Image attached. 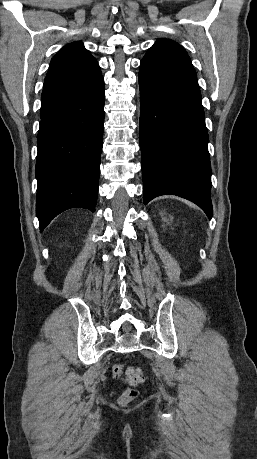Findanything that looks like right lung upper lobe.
I'll list each match as a JSON object with an SVG mask.
<instances>
[{
	"mask_svg": "<svg viewBox=\"0 0 257 459\" xmlns=\"http://www.w3.org/2000/svg\"><path fill=\"white\" fill-rule=\"evenodd\" d=\"M96 59L83 44L73 42L64 46L51 60L43 92L77 85L100 74Z\"/></svg>",
	"mask_w": 257,
	"mask_h": 459,
	"instance_id": "cb5924a9",
	"label": "right lung upper lobe"
}]
</instances>
